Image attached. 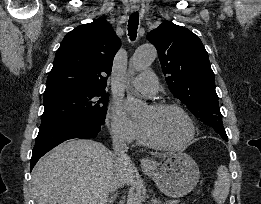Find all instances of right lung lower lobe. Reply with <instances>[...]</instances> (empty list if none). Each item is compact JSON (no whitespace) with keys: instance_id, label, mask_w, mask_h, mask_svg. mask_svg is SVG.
<instances>
[{"instance_id":"obj_1","label":"right lung lower lobe","mask_w":261,"mask_h":204,"mask_svg":"<svg viewBox=\"0 0 261 204\" xmlns=\"http://www.w3.org/2000/svg\"><path fill=\"white\" fill-rule=\"evenodd\" d=\"M105 120L88 116L61 117L42 121L31 158L30 170L36 162L60 143L73 138L96 137Z\"/></svg>"}]
</instances>
